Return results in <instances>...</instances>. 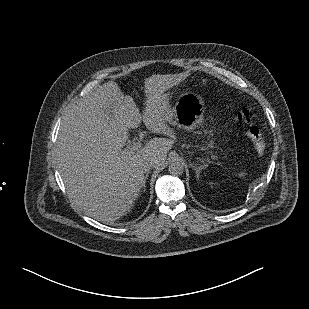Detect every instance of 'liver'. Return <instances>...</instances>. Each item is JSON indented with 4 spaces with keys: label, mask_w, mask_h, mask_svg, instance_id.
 Instances as JSON below:
<instances>
[{
    "label": "liver",
    "mask_w": 309,
    "mask_h": 309,
    "mask_svg": "<svg viewBox=\"0 0 309 309\" xmlns=\"http://www.w3.org/2000/svg\"><path fill=\"white\" fill-rule=\"evenodd\" d=\"M155 79L146 82L144 113L117 83L89 93L63 116L56 147L57 166L74 204L87 216L112 222L133 206L143 187L145 166L162 165L173 139L153 138L139 150H123L128 129L141 121L153 133L173 136L169 110L157 93Z\"/></svg>",
    "instance_id": "1"
}]
</instances>
